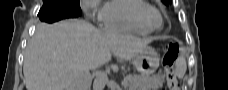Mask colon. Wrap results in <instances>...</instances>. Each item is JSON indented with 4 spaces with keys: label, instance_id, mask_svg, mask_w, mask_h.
Here are the masks:
<instances>
[{
    "label": "colon",
    "instance_id": "5ec220e1",
    "mask_svg": "<svg viewBox=\"0 0 228 90\" xmlns=\"http://www.w3.org/2000/svg\"><path fill=\"white\" fill-rule=\"evenodd\" d=\"M179 54V46L175 42H171L165 51L163 58L164 68L167 74L168 89L169 90H180V86L177 82L175 73H174V63Z\"/></svg>",
    "mask_w": 228,
    "mask_h": 90
}]
</instances>
